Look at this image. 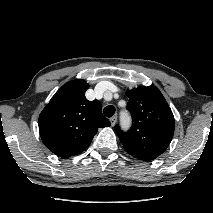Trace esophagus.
Returning a JSON list of instances; mask_svg holds the SVG:
<instances>
[{
    "instance_id": "obj_1",
    "label": "esophagus",
    "mask_w": 213,
    "mask_h": 213,
    "mask_svg": "<svg viewBox=\"0 0 213 213\" xmlns=\"http://www.w3.org/2000/svg\"><path fill=\"white\" fill-rule=\"evenodd\" d=\"M117 122V117L116 116H113L110 118V123H111V126H114Z\"/></svg>"
}]
</instances>
